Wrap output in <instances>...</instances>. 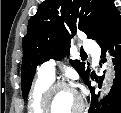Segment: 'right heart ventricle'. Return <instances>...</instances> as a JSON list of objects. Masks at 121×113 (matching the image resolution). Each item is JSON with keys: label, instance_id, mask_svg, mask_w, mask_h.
Returning a JSON list of instances; mask_svg holds the SVG:
<instances>
[{"label": "right heart ventricle", "instance_id": "obj_1", "mask_svg": "<svg viewBox=\"0 0 121 113\" xmlns=\"http://www.w3.org/2000/svg\"><path fill=\"white\" fill-rule=\"evenodd\" d=\"M52 81V78H48L41 74L38 75L30 98L31 109H44V92Z\"/></svg>", "mask_w": 121, "mask_h": 113}]
</instances>
